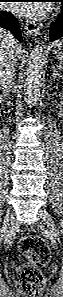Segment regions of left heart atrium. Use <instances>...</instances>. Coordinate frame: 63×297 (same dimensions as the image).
Returning a JSON list of instances; mask_svg holds the SVG:
<instances>
[{"label":"left heart atrium","instance_id":"1","mask_svg":"<svg viewBox=\"0 0 63 297\" xmlns=\"http://www.w3.org/2000/svg\"><path fill=\"white\" fill-rule=\"evenodd\" d=\"M11 9L27 17H41L47 11L46 6L39 3L12 4Z\"/></svg>","mask_w":63,"mask_h":297}]
</instances>
